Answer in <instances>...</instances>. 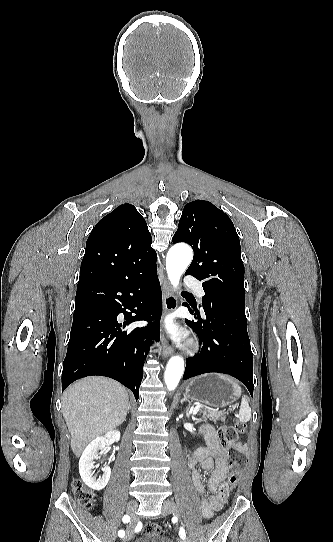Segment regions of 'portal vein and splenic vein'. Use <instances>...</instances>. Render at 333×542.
Wrapping results in <instances>:
<instances>
[{
  "instance_id": "obj_1",
  "label": "portal vein and splenic vein",
  "mask_w": 333,
  "mask_h": 542,
  "mask_svg": "<svg viewBox=\"0 0 333 542\" xmlns=\"http://www.w3.org/2000/svg\"><path fill=\"white\" fill-rule=\"evenodd\" d=\"M199 410H200V406H197V408H194L193 414H197V412H199Z\"/></svg>"
}]
</instances>
